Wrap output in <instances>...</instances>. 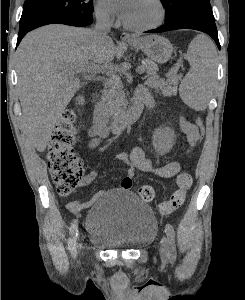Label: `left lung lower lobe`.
I'll return each mask as SVG.
<instances>
[{
    "label": "left lung lower lobe",
    "mask_w": 245,
    "mask_h": 300,
    "mask_svg": "<svg viewBox=\"0 0 245 300\" xmlns=\"http://www.w3.org/2000/svg\"><path fill=\"white\" fill-rule=\"evenodd\" d=\"M177 29H194L210 35L220 49L215 20L194 14H182L162 27L149 30L146 33H159Z\"/></svg>",
    "instance_id": "left-lung-lower-lobe-1"
}]
</instances>
